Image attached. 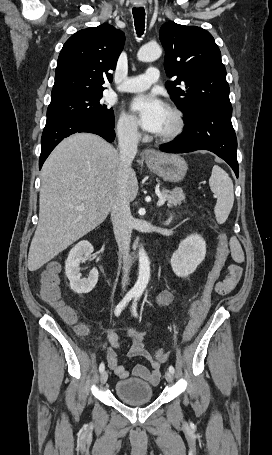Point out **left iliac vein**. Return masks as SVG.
<instances>
[{
  "instance_id": "obj_1",
  "label": "left iliac vein",
  "mask_w": 272,
  "mask_h": 455,
  "mask_svg": "<svg viewBox=\"0 0 272 455\" xmlns=\"http://www.w3.org/2000/svg\"><path fill=\"white\" fill-rule=\"evenodd\" d=\"M165 379L167 380V382L171 383L173 381V374L170 371H167L165 373Z\"/></svg>"
}]
</instances>
